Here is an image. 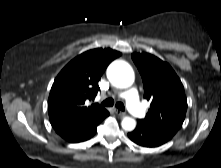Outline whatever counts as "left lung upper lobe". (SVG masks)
I'll return each mask as SVG.
<instances>
[{
	"label": "left lung upper lobe",
	"mask_w": 221,
	"mask_h": 168,
	"mask_svg": "<svg viewBox=\"0 0 221 168\" xmlns=\"http://www.w3.org/2000/svg\"><path fill=\"white\" fill-rule=\"evenodd\" d=\"M144 86V97L151 101L141 121L171 135L181 128L187 111L184 87L171 66L148 53H133Z\"/></svg>",
	"instance_id": "5c2ea615"
}]
</instances>
